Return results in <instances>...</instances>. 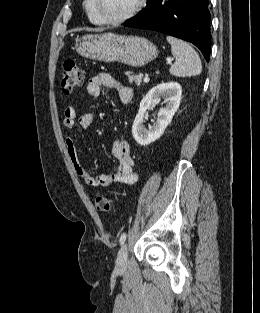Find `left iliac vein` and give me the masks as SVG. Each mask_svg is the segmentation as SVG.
Segmentation results:
<instances>
[{"mask_svg": "<svg viewBox=\"0 0 260 313\" xmlns=\"http://www.w3.org/2000/svg\"><path fill=\"white\" fill-rule=\"evenodd\" d=\"M127 256H128L127 245L123 244L118 252L117 259H116V267L118 269H122L126 266Z\"/></svg>", "mask_w": 260, "mask_h": 313, "instance_id": "4c4485c4", "label": "left iliac vein"}]
</instances>
